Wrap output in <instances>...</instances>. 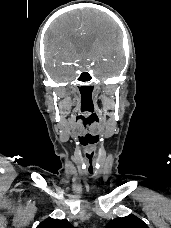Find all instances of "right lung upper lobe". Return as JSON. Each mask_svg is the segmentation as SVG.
<instances>
[{"mask_svg": "<svg viewBox=\"0 0 171 228\" xmlns=\"http://www.w3.org/2000/svg\"><path fill=\"white\" fill-rule=\"evenodd\" d=\"M36 228H74L67 220L47 219Z\"/></svg>", "mask_w": 171, "mask_h": 228, "instance_id": "right-lung-upper-lobe-1", "label": "right lung upper lobe"}]
</instances>
